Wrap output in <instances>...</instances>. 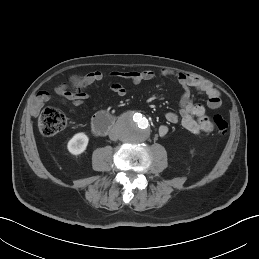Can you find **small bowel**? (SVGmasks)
<instances>
[{
    "label": "small bowel",
    "instance_id": "obj_1",
    "mask_svg": "<svg viewBox=\"0 0 259 259\" xmlns=\"http://www.w3.org/2000/svg\"><path fill=\"white\" fill-rule=\"evenodd\" d=\"M160 75L168 77L175 75L179 84L184 88V92L179 101V114L173 111H169L165 114V119L169 123H177L179 117L181 118L182 126L193 134L210 133L213 131V124L206 114V108L202 104L194 103L190 89H195L207 97V105L211 109H216L221 106V93L214 87V85L204 78L183 73H175L168 68H163L160 71ZM155 77V73L150 70L145 71H112L107 73L102 70H96L89 73L85 77V85L102 81L106 78L113 79L110 83V89L112 92L119 96H124L127 90L124 85L118 82V79H126L133 83H141L144 81H150ZM54 93L60 98L61 102L65 105L70 102L72 107L70 108L75 112V108L83 104L90 95L88 93H80L78 95H71L68 92L66 85H59L55 87ZM52 100V96L47 91L38 92L32 100L31 112L33 115H37L41 108ZM168 127L162 125L158 129V133L161 137L168 134Z\"/></svg>",
    "mask_w": 259,
    "mask_h": 259
}]
</instances>
